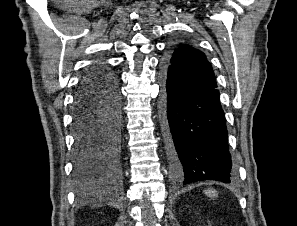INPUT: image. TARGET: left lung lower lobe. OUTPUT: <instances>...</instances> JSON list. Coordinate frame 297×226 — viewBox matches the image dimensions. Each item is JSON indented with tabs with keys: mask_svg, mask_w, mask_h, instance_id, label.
<instances>
[{
	"mask_svg": "<svg viewBox=\"0 0 297 226\" xmlns=\"http://www.w3.org/2000/svg\"><path fill=\"white\" fill-rule=\"evenodd\" d=\"M161 118L178 184L216 180L229 183L234 167L219 91L187 86L163 61Z\"/></svg>",
	"mask_w": 297,
	"mask_h": 226,
	"instance_id": "obj_1",
	"label": "left lung lower lobe"
}]
</instances>
